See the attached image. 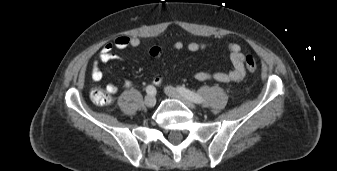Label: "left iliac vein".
Wrapping results in <instances>:
<instances>
[{
	"label": "left iliac vein",
	"instance_id": "obj_1",
	"mask_svg": "<svg viewBox=\"0 0 337 171\" xmlns=\"http://www.w3.org/2000/svg\"><path fill=\"white\" fill-rule=\"evenodd\" d=\"M165 93L174 99L180 100L182 103H184L187 107L190 109H196V106L193 102H191L189 99H187L185 96H183L181 93H179L175 88L172 86L165 87Z\"/></svg>",
	"mask_w": 337,
	"mask_h": 171
}]
</instances>
